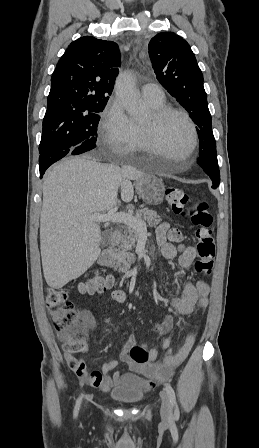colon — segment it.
I'll use <instances>...</instances> for the list:
<instances>
[{
    "label": "colon",
    "mask_w": 259,
    "mask_h": 448,
    "mask_svg": "<svg viewBox=\"0 0 259 448\" xmlns=\"http://www.w3.org/2000/svg\"><path fill=\"white\" fill-rule=\"evenodd\" d=\"M165 198L176 214L190 218L196 227L197 260L195 270L198 273L210 275L214 265L215 242L212 216L208 211V204L205 201H200L188 207V195L176 186L166 188ZM170 236L174 240H178L181 233L179 230L173 229ZM116 284V279L113 276L97 274L83 282L79 286V290L86 294L101 293L114 288ZM46 306L65 350L71 353L85 350L88 330L93 324L91 315L87 311L78 310L68 300L66 292L59 289L46 291ZM129 356L133 362L138 364H144L149 359L148 351L144 346H133Z\"/></svg>",
    "instance_id": "colon-1"
}]
</instances>
